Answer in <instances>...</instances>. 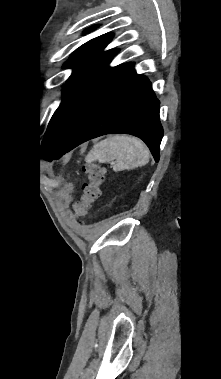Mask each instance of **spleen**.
<instances>
[{"mask_svg": "<svg viewBox=\"0 0 221 379\" xmlns=\"http://www.w3.org/2000/svg\"><path fill=\"white\" fill-rule=\"evenodd\" d=\"M149 157V150L141 140L115 135L96 144L87 155L86 161L110 163L113 170L118 172L145 166L149 162Z\"/></svg>", "mask_w": 221, "mask_h": 379, "instance_id": "spleen-1", "label": "spleen"}]
</instances>
